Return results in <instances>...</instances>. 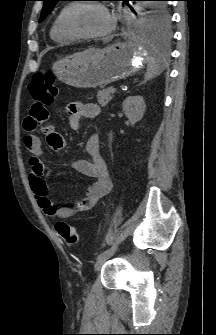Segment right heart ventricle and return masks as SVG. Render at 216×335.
Listing matches in <instances>:
<instances>
[{
	"mask_svg": "<svg viewBox=\"0 0 216 335\" xmlns=\"http://www.w3.org/2000/svg\"><path fill=\"white\" fill-rule=\"evenodd\" d=\"M68 6L69 5L67 4L59 10L56 17L53 20V23L50 29V37L52 38V40H54L57 43H61V44L69 43L74 40L68 37L67 35H65L60 26V20H61L62 14L64 13V11L66 10Z\"/></svg>",
	"mask_w": 216,
	"mask_h": 335,
	"instance_id": "e07e8e85",
	"label": "right heart ventricle"
}]
</instances>
